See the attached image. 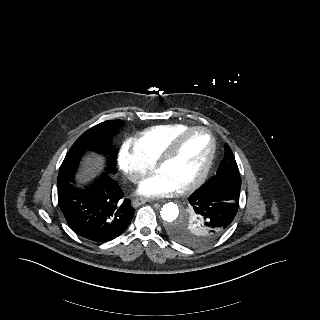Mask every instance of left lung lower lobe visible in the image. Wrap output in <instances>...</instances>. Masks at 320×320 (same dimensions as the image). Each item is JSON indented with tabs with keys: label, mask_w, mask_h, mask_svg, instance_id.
<instances>
[{
	"label": "left lung lower lobe",
	"mask_w": 320,
	"mask_h": 320,
	"mask_svg": "<svg viewBox=\"0 0 320 320\" xmlns=\"http://www.w3.org/2000/svg\"><path fill=\"white\" fill-rule=\"evenodd\" d=\"M239 196L240 192L226 187L205 184L189 197L191 207L208 228V238H218L228 229L237 213Z\"/></svg>",
	"instance_id": "obj_1"
}]
</instances>
